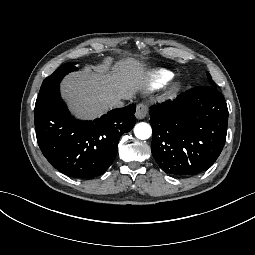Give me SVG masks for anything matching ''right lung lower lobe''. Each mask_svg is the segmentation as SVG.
Listing matches in <instances>:
<instances>
[{
    "instance_id": "right-lung-lower-lobe-1",
    "label": "right lung lower lobe",
    "mask_w": 255,
    "mask_h": 255,
    "mask_svg": "<svg viewBox=\"0 0 255 255\" xmlns=\"http://www.w3.org/2000/svg\"><path fill=\"white\" fill-rule=\"evenodd\" d=\"M135 104L114 109L93 121L74 119L59 87L38 94L34 117L39 147L58 171L75 178H94L113 163L123 133L135 125Z\"/></svg>"
}]
</instances>
